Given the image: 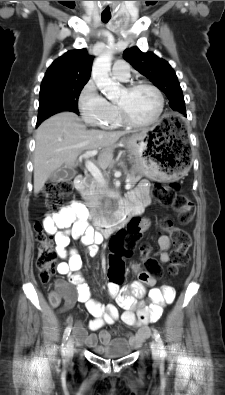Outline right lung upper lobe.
<instances>
[{
  "label": "right lung upper lobe",
  "mask_w": 225,
  "mask_h": 395,
  "mask_svg": "<svg viewBox=\"0 0 225 395\" xmlns=\"http://www.w3.org/2000/svg\"><path fill=\"white\" fill-rule=\"evenodd\" d=\"M94 56L86 49L66 52L48 68L41 86L49 84L87 83Z\"/></svg>",
  "instance_id": "1"
}]
</instances>
